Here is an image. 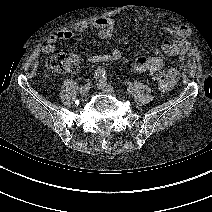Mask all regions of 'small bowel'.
<instances>
[{"mask_svg":"<svg viewBox=\"0 0 212 212\" xmlns=\"http://www.w3.org/2000/svg\"><path fill=\"white\" fill-rule=\"evenodd\" d=\"M184 28L181 26V29ZM89 29L97 30V37L101 40H107L113 36L115 24L109 17H99L91 21H83L75 26V30H62L49 36L47 43L42 47L44 53H53L58 49V41L69 40L75 36V33H83ZM161 50L169 56H176L180 61V67H171L166 75L163 83L159 84V88L164 91H170L177 82L181 66L185 61L188 53V45L181 38L165 40L161 43ZM122 58V54L118 49H113L107 54L92 55L88 58V62L96 63H111ZM163 61L158 56L139 57L133 64V71L142 73L154 67H162Z\"/></svg>","mask_w":212,"mask_h":212,"instance_id":"c3829d8e","label":"small bowel"}]
</instances>
